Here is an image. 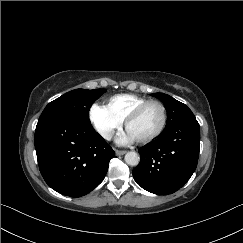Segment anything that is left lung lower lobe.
<instances>
[{
	"label": "left lung lower lobe",
	"mask_w": 243,
	"mask_h": 243,
	"mask_svg": "<svg viewBox=\"0 0 243 243\" xmlns=\"http://www.w3.org/2000/svg\"><path fill=\"white\" fill-rule=\"evenodd\" d=\"M200 125L188 116L139 149L134 180L145 190L167 195L180 189L194 173L199 155Z\"/></svg>",
	"instance_id": "left-lung-lower-lobe-1"
}]
</instances>
